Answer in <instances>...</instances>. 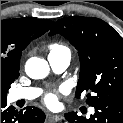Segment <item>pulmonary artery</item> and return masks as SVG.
Listing matches in <instances>:
<instances>
[{"mask_svg": "<svg viewBox=\"0 0 123 123\" xmlns=\"http://www.w3.org/2000/svg\"><path fill=\"white\" fill-rule=\"evenodd\" d=\"M71 55L68 50L53 52L48 55V61L51 68L57 72H63L70 64ZM40 94L38 88H19L11 91V98L14 101L17 100H33Z\"/></svg>", "mask_w": 123, "mask_h": 123, "instance_id": "1", "label": "pulmonary artery"}]
</instances>
